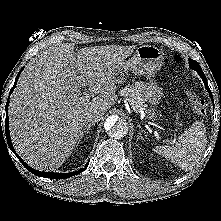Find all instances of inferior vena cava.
I'll use <instances>...</instances> for the list:
<instances>
[{
  "mask_svg": "<svg viewBox=\"0 0 221 221\" xmlns=\"http://www.w3.org/2000/svg\"><path fill=\"white\" fill-rule=\"evenodd\" d=\"M104 114H105L104 112L96 111V110L89 112L86 116V121L89 123H97L101 120Z\"/></svg>",
  "mask_w": 221,
  "mask_h": 221,
  "instance_id": "inferior-vena-cava-1",
  "label": "inferior vena cava"
}]
</instances>
